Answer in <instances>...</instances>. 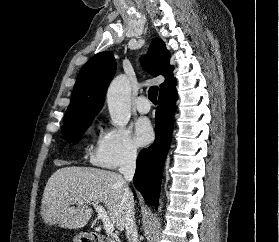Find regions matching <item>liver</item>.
Wrapping results in <instances>:
<instances>
[{"label": "liver", "mask_w": 279, "mask_h": 242, "mask_svg": "<svg viewBox=\"0 0 279 242\" xmlns=\"http://www.w3.org/2000/svg\"><path fill=\"white\" fill-rule=\"evenodd\" d=\"M125 185L124 177L113 171L76 166L60 168L44 188L42 219L45 224L78 229L91 218L89 205L103 203L111 222L123 231L130 206Z\"/></svg>", "instance_id": "obj_1"}]
</instances>
